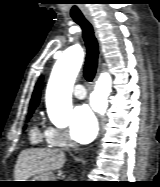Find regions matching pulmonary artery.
I'll use <instances>...</instances> for the list:
<instances>
[{
    "label": "pulmonary artery",
    "mask_w": 160,
    "mask_h": 187,
    "mask_svg": "<svg viewBox=\"0 0 160 187\" xmlns=\"http://www.w3.org/2000/svg\"><path fill=\"white\" fill-rule=\"evenodd\" d=\"M73 92L77 99H84L86 97V91L82 84L76 85Z\"/></svg>",
    "instance_id": "e3ab8cb5"
}]
</instances>
